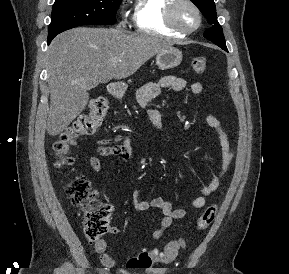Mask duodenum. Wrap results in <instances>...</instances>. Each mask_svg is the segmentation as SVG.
I'll list each match as a JSON object with an SVG mask.
<instances>
[{"mask_svg": "<svg viewBox=\"0 0 289 274\" xmlns=\"http://www.w3.org/2000/svg\"><path fill=\"white\" fill-rule=\"evenodd\" d=\"M109 90H110V93L115 97L120 95V89L115 84L110 85Z\"/></svg>", "mask_w": 289, "mask_h": 274, "instance_id": "duodenum-1", "label": "duodenum"}]
</instances>
